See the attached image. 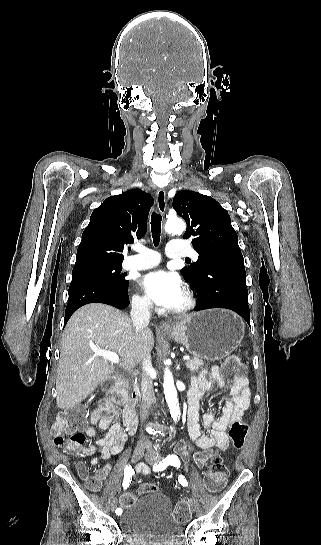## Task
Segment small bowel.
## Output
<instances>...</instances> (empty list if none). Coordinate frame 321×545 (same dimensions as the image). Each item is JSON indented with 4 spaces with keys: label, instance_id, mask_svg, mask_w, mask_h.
I'll return each mask as SVG.
<instances>
[{
    "label": "small bowel",
    "instance_id": "1",
    "mask_svg": "<svg viewBox=\"0 0 321 545\" xmlns=\"http://www.w3.org/2000/svg\"><path fill=\"white\" fill-rule=\"evenodd\" d=\"M226 385L219 367L214 366L209 372L202 371L197 378L191 380L188 408V434L191 442L199 449L193 451L190 444L181 441L176 446V452L185 460L191 458L200 467H205L212 456V448L218 447L225 450L228 446L226 430L236 420H240L244 412L250 406V391L246 379L241 378L231 388V398L225 403L220 416H216L214 410H210L200 418L199 410L201 400L210 393L214 387ZM116 409L108 401H102L95 408L90 416L91 426L85 429L88 437H95L97 432L95 426L105 432V435L98 438L95 445L84 449L87 456L96 452L100 457L91 460L92 465H97L100 460H108L119 454L128 439L127 432L115 422ZM136 471L141 474H149L150 469L145 464H139ZM111 472L110 463H105L97 472L96 477L101 483L107 479Z\"/></svg>",
    "mask_w": 321,
    "mask_h": 545
}]
</instances>
